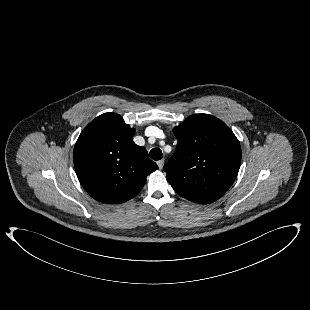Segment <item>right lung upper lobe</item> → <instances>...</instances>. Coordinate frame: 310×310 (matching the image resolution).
<instances>
[{
  "mask_svg": "<svg viewBox=\"0 0 310 310\" xmlns=\"http://www.w3.org/2000/svg\"><path fill=\"white\" fill-rule=\"evenodd\" d=\"M134 132L115 113L96 117L81 132L74 147V166L81 185L95 200L126 202L158 169L146 149L133 142Z\"/></svg>",
  "mask_w": 310,
  "mask_h": 310,
  "instance_id": "1",
  "label": "right lung upper lobe"
}]
</instances>
